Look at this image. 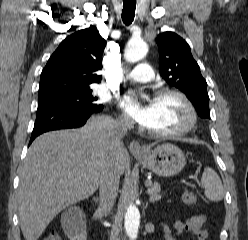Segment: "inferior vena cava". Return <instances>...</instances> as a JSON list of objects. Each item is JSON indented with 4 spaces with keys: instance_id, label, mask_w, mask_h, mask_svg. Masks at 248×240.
<instances>
[{
    "instance_id": "1",
    "label": "inferior vena cava",
    "mask_w": 248,
    "mask_h": 240,
    "mask_svg": "<svg viewBox=\"0 0 248 240\" xmlns=\"http://www.w3.org/2000/svg\"><path fill=\"white\" fill-rule=\"evenodd\" d=\"M129 119L113 121L108 127L107 141L111 151H116L122 145V137L131 126ZM120 175L115 165L113 155L110 154L105 162L99 189V210L106 215L110 212L117 197Z\"/></svg>"
}]
</instances>
